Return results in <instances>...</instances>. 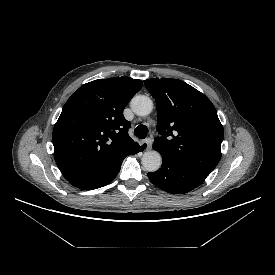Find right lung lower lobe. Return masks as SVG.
<instances>
[{
  "label": "right lung lower lobe",
  "instance_id": "1",
  "mask_svg": "<svg viewBox=\"0 0 275 275\" xmlns=\"http://www.w3.org/2000/svg\"><path fill=\"white\" fill-rule=\"evenodd\" d=\"M144 148H145L144 145L141 147L139 146L133 152V154L143 151ZM120 168H121V164L119 166H117L115 169H113L110 173H108L100 178H97L93 181H90L88 183L82 184V185L78 186V188L83 189V190H93V189L103 187L114 180V178L117 176L118 172L120 171Z\"/></svg>",
  "mask_w": 275,
  "mask_h": 275
}]
</instances>
